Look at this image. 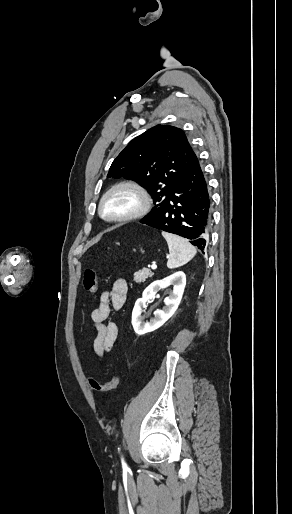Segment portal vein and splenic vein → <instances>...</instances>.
I'll use <instances>...</instances> for the list:
<instances>
[{"instance_id": "portal-vein-and-splenic-vein-1", "label": "portal vein and splenic vein", "mask_w": 292, "mask_h": 514, "mask_svg": "<svg viewBox=\"0 0 292 514\" xmlns=\"http://www.w3.org/2000/svg\"><path fill=\"white\" fill-rule=\"evenodd\" d=\"M152 270H156L157 266H151Z\"/></svg>"}]
</instances>
